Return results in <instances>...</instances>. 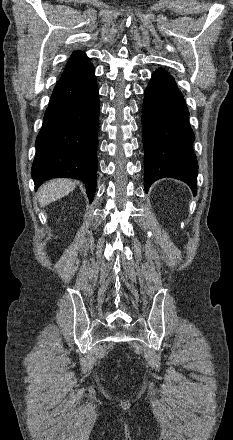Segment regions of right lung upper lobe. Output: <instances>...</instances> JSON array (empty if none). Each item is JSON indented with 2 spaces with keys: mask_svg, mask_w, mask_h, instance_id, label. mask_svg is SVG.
I'll return each mask as SVG.
<instances>
[{
  "mask_svg": "<svg viewBox=\"0 0 233 440\" xmlns=\"http://www.w3.org/2000/svg\"><path fill=\"white\" fill-rule=\"evenodd\" d=\"M92 66L90 60L83 52H75L64 70L63 76L71 75Z\"/></svg>",
  "mask_w": 233,
  "mask_h": 440,
  "instance_id": "1",
  "label": "right lung upper lobe"
}]
</instances>
